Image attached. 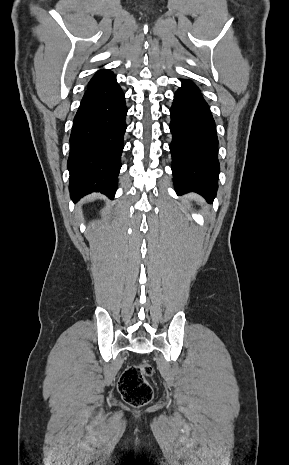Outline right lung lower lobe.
Segmentation results:
<instances>
[{"label":"right lung lower lobe","mask_w":289,"mask_h":465,"mask_svg":"<svg viewBox=\"0 0 289 465\" xmlns=\"http://www.w3.org/2000/svg\"><path fill=\"white\" fill-rule=\"evenodd\" d=\"M126 114L125 97L116 79L88 87L70 136L69 191L74 202L92 192L114 197Z\"/></svg>","instance_id":"right-lung-lower-lobe-1"}]
</instances>
